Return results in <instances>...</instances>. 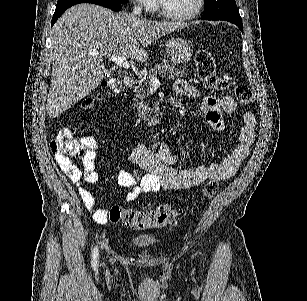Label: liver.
Returning a JSON list of instances; mask_svg holds the SVG:
<instances>
[{"label": "liver", "instance_id": "1", "mask_svg": "<svg viewBox=\"0 0 307 301\" xmlns=\"http://www.w3.org/2000/svg\"><path fill=\"white\" fill-rule=\"evenodd\" d=\"M184 22L146 20L130 12H113L98 4H75L55 22L51 32L52 74L47 112L59 116L87 96L104 78L102 62L112 54H124L144 62L142 46L185 28Z\"/></svg>", "mask_w": 307, "mask_h": 301}]
</instances>
